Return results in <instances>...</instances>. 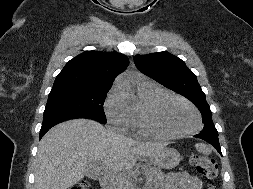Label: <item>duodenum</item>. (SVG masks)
Instances as JSON below:
<instances>
[{
	"instance_id": "1",
	"label": "duodenum",
	"mask_w": 253,
	"mask_h": 189,
	"mask_svg": "<svg viewBox=\"0 0 253 189\" xmlns=\"http://www.w3.org/2000/svg\"><path fill=\"white\" fill-rule=\"evenodd\" d=\"M101 186L102 189H112V185H113V177L110 174H105L102 178H101Z\"/></svg>"
}]
</instances>
